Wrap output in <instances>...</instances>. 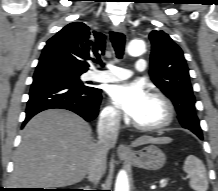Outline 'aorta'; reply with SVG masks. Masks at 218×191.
Masks as SVG:
<instances>
[{"instance_id":"obj_1","label":"aorta","mask_w":218,"mask_h":191,"mask_svg":"<svg viewBox=\"0 0 218 191\" xmlns=\"http://www.w3.org/2000/svg\"><path fill=\"white\" fill-rule=\"evenodd\" d=\"M145 42L141 39H134L129 42L127 52L131 56H139L145 52ZM114 191H129V182L126 171L121 170L116 178Z\"/></svg>"}]
</instances>
